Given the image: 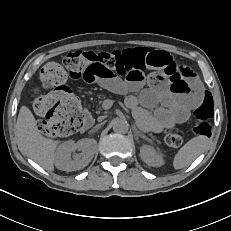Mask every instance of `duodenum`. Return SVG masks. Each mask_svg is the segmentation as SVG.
<instances>
[{
    "instance_id": "duodenum-1",
    "label": "duodenum",
    "mask_w": 231,
    "mask_h": 231,
    "mask_svg": "<svg viewBox=\"0 0 231 231\" xmlns=\"http://www.w3.org/2000/svg\"><path fill=\"white\" fill-rule=\"evenodd\" d=\"M93 125V118L90 115L89 111L85 109L83 111V123H82V129L86 130L90 128Z\"/></svg>"
}]
</instances>
